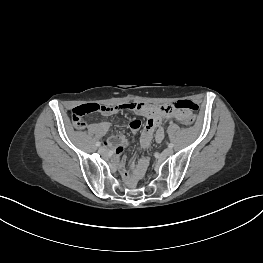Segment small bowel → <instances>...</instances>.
<instances>
[{"instance_id":"c3829d8e","label":"small bowel","mask_w":263,"mask_h":263,"mask_svg":"<svg viewBox=\"0 0 263 263\" xmlns=\"http://www.w3.org/2000/svg\"><path fill=\"white\" fill-rule=\"evenodd\" d=\"M105 110L102 112L104 115H113L123 110H129L142 116L146 119L143 125L142 121L139 119L132 120L129 127L133 134L141 129L143 126L141 134V142L144 147H148L154 138L156 142H162L165 137L163 128L161 127L162 122L168 118H181L185 122L187 115L191 112V108L185 105L183 108L176 104L173 105H155L143 102H128L120 105L114 106H104ZM181 111V112H180ZM187 124V123H185ZM85 123H83V127ZM100 134H106L110 128V124L106 121L100 122L97 125ZM129 143V139L124 136H112L106 142V148L113 152L118 158H120L121 163H123V150L124 147ZM148 160L146 158L141 159L136 169V177H142L147 169Z\"/></svg>"}]
</instances>
